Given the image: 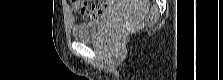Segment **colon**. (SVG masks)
Segmentation results:
<instances>
[{
  "label": "colon",
  "mask_w": 223,
  "mask_h": 80,
  "mask_svg": "<svg viewBox=\"0 0 223 80\" xmlns=\"http://www.w3.org/2000/svg\"><path fill=\"white\" fill-rule=\"evenodd\" d=\"M74 4L77 6L79 12L82 14V15H86L88 13H91L92 11H94L95 9V4H89L87 1H80V0H77V1H74ZM154 20V17L153 15H150L148 16V18L146 19V23H151L152 21ZM133 29V26H128L124 29H122L119 34L122 35V34H126L128 32H130L131 30Z\"/></svg>",
  "instance_id": "colon-1"
}]
</instances>
